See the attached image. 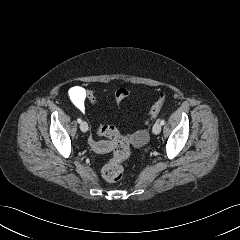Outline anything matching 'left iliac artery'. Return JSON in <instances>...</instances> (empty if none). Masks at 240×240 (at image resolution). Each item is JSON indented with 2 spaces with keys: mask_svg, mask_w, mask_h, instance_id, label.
Here are the masks:
<instances>
[{
  "mask_svg": "<svg viewBox=\"0 0 240 240\" xmlns=\"http://www.w3.org/2000/svg\"><path fill=\"white\" fill-rule=\"evenodd\" d=\"M160 124H161V125H164V124H165V120H164V119L161 120V121H160Z\"/></svg>",
  "mask_w": 240,
  "mask_h": 240,
  "instance_id": "obj_1",
  "label": "left iliac artery"
}]
</instances>
